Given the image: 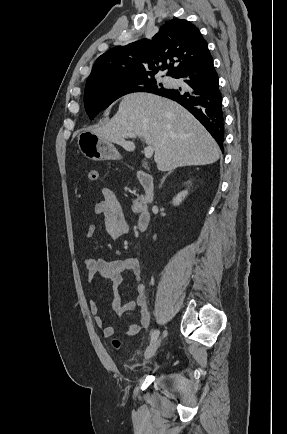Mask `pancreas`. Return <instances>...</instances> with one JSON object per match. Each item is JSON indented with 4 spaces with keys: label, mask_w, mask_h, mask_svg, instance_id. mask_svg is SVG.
Masks as SVG:
<instances>
[{
    "label": "pancreas",
    "mask_w": 287,
    "mask_h": 434,
    "mask_svg": "<svg viewBox=\"0 0 287 434\" xmlns=\"http://www.w3.org/2000/svg\"><path fill=\"white\" fill-rule=\"evenodd\" d=\"M139 198H137L136 200L133 201V205H132V211L134 213H138L139 212Z\"/></svg>",
    "instance_id": "1"
}]
</instances>
